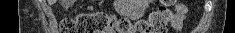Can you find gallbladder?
I'll use <instances>...</instances> for the list:
<instances>
[{
  "label": "gallbladder",
  "instance_id": "gallbladder-1",
  "mask_svg": "<svg viewBox=\"0 0 235 33\" xmlns=\"http://www.w3.org/2000/svg\"><path fill=\"white\" fill-rule=\"evenodd\" d=\"M66 2H68V3H65L64 6L69 5V2H71V0H66Z\"/></svg>",
  "mask_w": 235,
  "mask_h": 33
}]
</instances>
